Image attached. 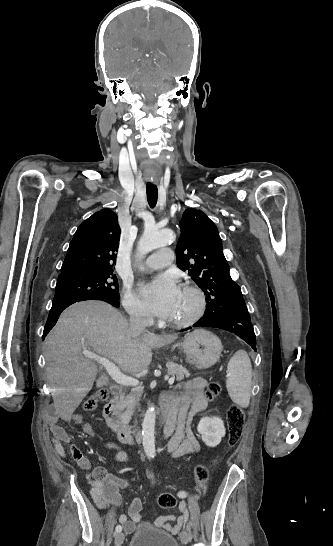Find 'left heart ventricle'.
I'll list each match as a JSON object with an SVG mask.
<instances>
[{"instance_id":"b2bd125f","label":"left heart ventricle","mask_w":333,"mask_h":546,"mask_svg":"<svg viewBox=\"0 0 333 546\" xmlns=\"http://www.w3.org/2000/svg\"><path fill=\"white\" fill-rule=\"evenodd\" d=\"M194 308L195 298L189 292L181 289L169 318L171 320H183L193 312Z\"/></svg>"}]
</instances>
